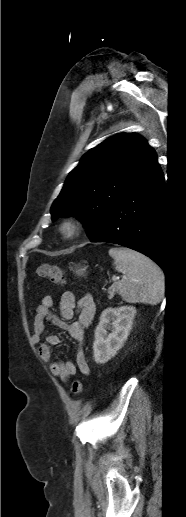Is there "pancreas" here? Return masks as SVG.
Wrapping results in <instances>:
<instances>
[{"instance_id": "pancreas-1", "label": "pancreas", "mask_w": 186, "mask_h": 517, "mask_svg": "<svg viewBox=\"0 0 186 517\" xmlns=\"http://www.w3.org/2000/svg\"><path fill=\"white\" fill-rule=\"evenodd\" d=\"M116 291H117V285L114 284L108 290V298L112 299L114 297Z\"/></svg>"}]
</instances>
